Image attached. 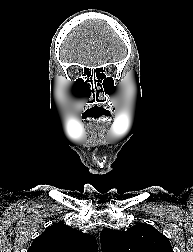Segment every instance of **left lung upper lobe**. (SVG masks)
I'll list each match as a JSON object with an SVG mask.
<instances>
[{
	"label": "left lung upper lobe",
	"mask_w": 193,
	"mask_h": 252,
	"mask_svg": "<svg viewBox=\"0 0 193 252\" xmlns=\"http://www.w3.org/2000/svg\"><path fill=\"white\" fill-rule=\"evenodd\" d=\"M102 252H173L170 241L153 226L138 223L127 231L104 228Z\"/></svg>",
	"instance_id": "left-lung-upper-lobe-1"
}]
</instances>
